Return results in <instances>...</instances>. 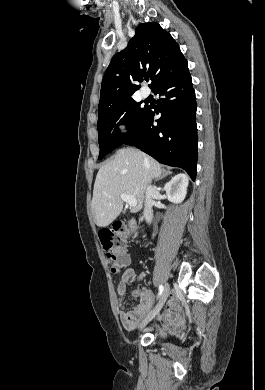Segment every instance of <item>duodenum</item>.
I'll list each match as a JSON object with an SVG mask.
<instances>
[{"mask_svg": "<svg viewBox=\"0 0 265 390\" xmlns=\"http://www.w3.org/2000/svg\"><path fill=\"white\" fill-rule=\"evenodd\" d=\"M129 225H130V227H131L132 229H134L135 226H136V222H135L134 220H131Z\"/></svg>", "mask_w": 265, "mask_h": 390, "instance_id": "1", "label": "duodenum"}]
</instances>
